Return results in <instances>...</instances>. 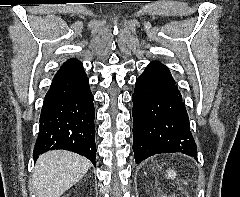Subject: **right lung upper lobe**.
I'll return each instance as SVG.
<instances>
[{"label":"right lung upper lobe","mask_w":240,"mask_h":197,"mask_svg":"<svg viewBox=\"0 0 240 197\" xmlns=\"http://www.w3.org/2000/svg\"><path fill=\"white\" fill-rule=\"evenodd\" d=\"M79 65H82L79 60L69 59L63 64V66L61 68H63V67H73V66H79Z\"/></svg>","instance_id":"right-lung-upper-lobe-1"}]
</instances>
